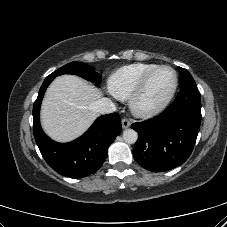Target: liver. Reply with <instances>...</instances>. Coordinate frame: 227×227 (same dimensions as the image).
Returning <instances> with one entry per match:
<instances>
[{"label":"liver","mask_w":227,"mask_h":227,"mask_svg":"<svg viewBox=\"0 0 227 227\" xmlns=\"http://www.w3.org/2000/svg\"><path fill=\"white\" fill-rule=\"evenodd\" d=\"M101 91L75 75L58 76L47 89L42 102L41 124L58 142L80 136L96 119L95 102Z\"/></svg>","instance_id":"obj_1"}]
</instances>
